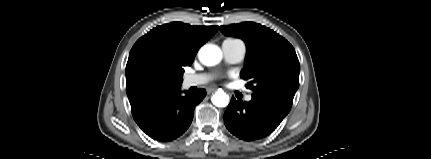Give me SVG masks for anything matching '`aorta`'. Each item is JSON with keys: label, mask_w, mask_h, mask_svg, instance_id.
I'll return each mask as SVG.
<instances>
[{"label": "aorta", "mask_w": 431, "mask_h": 159, "mask_svg": "<svg viewBox=\"0 0 431 159\" xmlns=\"http://www.w3.org/2000/svg\"><path fill=\"white\" fill-rule=\"evenodd\" d=\"M222 59L221 50L215 45H205L199 51V60L206 66L218 64ZM212 103L217 107H225L229 103V97L223 91L216 92L212 98Z\"/></svg>", "instance_id": "obj_1"}]
</instances>
